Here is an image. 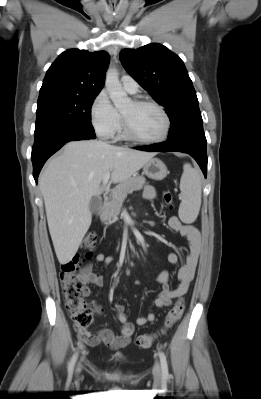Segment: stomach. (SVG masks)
Segmentation results:
<instances>
[{
	"label": "stomach",
	"instance_id": "0dacf381",
	"mask_svg": "<svg viewBox=\"0 0 261 399\" xmlns=\"http://www.w3.org/2000/svg\"><path fill=\"white\" fill-rule=\"evenodd\" d=\"M143 173L151 179L162 180L167 176L168 170L163 161L152 158L143 166Z\"/></svg>",
	"mask_w": 261,
	"mask_h": 399
}]
</instances>
